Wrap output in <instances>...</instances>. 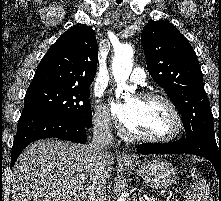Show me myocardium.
I'll return each instance as SVG.
<instances>
[{
  "instance_id": "f54148a6",
  "label": "myocardium",
  "mask_w": 221,
  "mask_h": 201,
  "mask_svg": "<svg viewBox=\"0 0 221 201\" xmlns=\"http://www.w3.org/2000/svg\"><path fill=\"white\" fill-rule=\"evenodd\" d=\"M136 99L140 101H148V100H158L161 101L165 106L168 108L169 112L171 113L173 120H174V129L173 131L166 135V136H146V135H139L133 133L126 126L123 122L120 123V130L127 135L128 137L143 142H152V143H167L175 140L182 132L183 123L181 116L175 106V104L165 95L156 93V92H144L140 93L136 96Z\"/></svg>"
}]
</instances>
